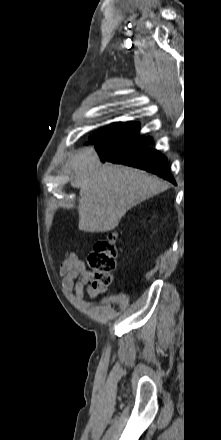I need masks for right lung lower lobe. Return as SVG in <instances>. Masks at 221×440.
Returning <instances> with one entry per match:
<instances>
[{"label": "right lung lower lobe", "instance_id": "98d812e1", "mask_svg": "<svg viewBox=\"0 0 221 440\" xmlns=\"http://www.w3.org/2000/svg\"><path fill=\"white\" fill-rule=\"evenodd\" d=\"M139 123L128 122L95 143L102 162H112L140 168L156 174L173 184L167 158L148 148V138L138 135Z\"/></svg>", "mask_w": 221, "mask_h": 440}]
</instances>
